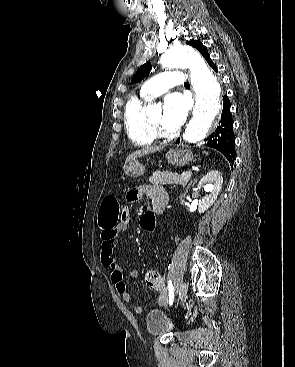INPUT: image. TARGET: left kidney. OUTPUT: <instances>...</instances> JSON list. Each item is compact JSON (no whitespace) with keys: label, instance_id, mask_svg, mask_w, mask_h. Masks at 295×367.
<instances>
[{"label":"left kidney","instance_id":"1","mask_svg":"<svg viewBox=\"0 0 295 367\" xmlns=\"http://www.w3.org/2000/svg\"><path fill=\"white\" fill-rule=\"evenodd\" d=\"M223 183L222 174L217 170L208 172L197 184V188H204L209 192L203 196L198 204V212L204 213L217 199Z\"/></svg>","mask_w":295,"mask_h":367}]
</instances>
